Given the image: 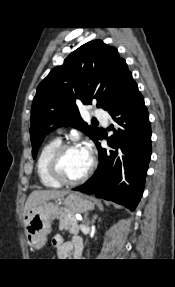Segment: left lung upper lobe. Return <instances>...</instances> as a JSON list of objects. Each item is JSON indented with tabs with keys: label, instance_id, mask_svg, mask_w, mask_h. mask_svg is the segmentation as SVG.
Masks as SVG:
<instances>
[{
	"label": "left lung upper lobe",
	"instance_id": "left-lung-upper-lobe-1",
	"mask_svg": "<svg viewBox=\"0 0 175 287\" xmlns=\"http://www.w3.org/2000/svg\"><path fill=\"white\" fill-rule=\"evenodd\" d=\"M134 84L132 73L115 47L101 40L80 46L63 65L51 70L37 88L30 128L33 157L45 135L58 127H74L96 143L100 130L83 121L77 105L96 100L97 107L110 114L124 103Z\"/></svg>",
	"mask_w": 175,
	"mask_h": 287
}]
</instances>
